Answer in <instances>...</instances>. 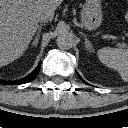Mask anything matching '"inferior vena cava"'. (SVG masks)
<instances>
[{
	"instance_id": "inferior-vena-cava-1",
	"label": "inferior vena cava",
	"mask_w": 128,
	"mask_h": 128,
	"mask_svg": "<svg viewBox=\"0 0 128 128\" xmlns=\"http://www.w3.org/2000/svg\"><path fill=\"white\" fill-rule=\"evenodd\" d=\"M37 20L40 23H45V22H48V21L52 20V17H51V15L49 13L42 12V13L38 14Z\"/></svg>"
}]
</instances>
